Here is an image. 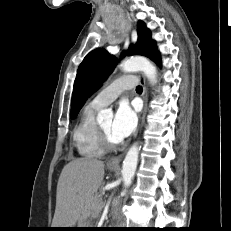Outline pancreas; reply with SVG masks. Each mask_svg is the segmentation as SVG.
I'll use <instances>...</instances> for the list:
<instances>
[{
	"label": "pancreas",
	"mask_w": 231,
	"mask_h": 231,
	"mask_svg": "<svg viewBox=\"0 0 231 231\" xmlns=\"http://www.w3.org/2000/svg\"><path fill=\"white\" fill-rule=\"evenodd\" d=\"M89 204L91 206L101 205L102 204V194H95L90 198Z\"/></svg>",
	"instance_id": "obj_1"
}]
</instances>
